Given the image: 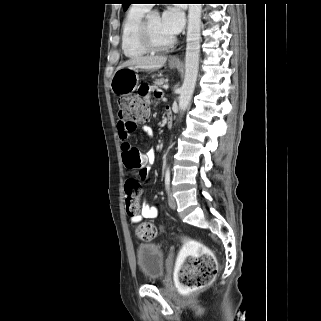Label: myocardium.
I'll list each match as a JSON object with an SVG mask.
<instances>
[{"mask_svg":"<svg viewBox=\"0 0 321 321\" xmlns=\"http://www.w3.org/2000/svg\"><path fill=\"white\" fill-rule=\"evenodd\" d=\"M151 14H147L143 17L138 31L139 41L143 47H145L148 51H165L174 46L176 42V38L172 37L170 41L164 44L156 43L151 35L149 28V17Z\"/></svg>","mask_w":321,"mask_h":321,"instance_id":"1","label":"myocardium"}]
</instances>
